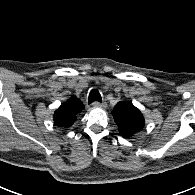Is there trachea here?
<instances>
[{"label": "trachea", "instance_id": "3493384b", "mask_svg": "<svg viewBox=\"0 0 195 195\" xmlns=\"http://www.w3.org/2000/svg\"><path fill=\"white\" fill-rule=\"evenodd\" d=\"M93 102H100V103L102 102V97L100 93L95 89L90 91L89 97H88V103L91 104Z\"/></svg>", "mask_w": 195, "mask_h": 195}]
</instances>
